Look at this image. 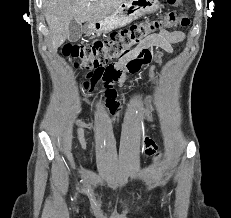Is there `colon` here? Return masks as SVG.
Returning a JSON list of instances; mask_svg holds the SVG:
<instances>
[{
  "label": "colon",
  "mask_w": 231,
  "mask_h": 218,
  "mask_svg": "<svg viewBox=\"0 0 231 218\" xmlns=\"http://www.w3.org/2000/svg\"><path fill=\"white\" fill-rule=\"evenodd\" d=\"M182 0H167L172 6L180 5ZM190 19L186 13L169 11L159 22L137 23L129 28L112 33L107 39L95 41L92 44H67L63 54L73 60L76 67L89 70L99 69V66H108L119 56H128L143 45L153 32L163 26L172 28L189 25ZM151 56L148 49H141L132 58H147ZM152 57V56H151ZM154 152V151H153ZM152 152V153H153ZM159 158V154L154 156Z\"/></svg>",
  "instance_id": "1"
}]
</instances>
